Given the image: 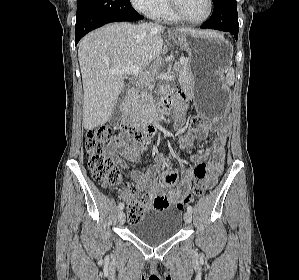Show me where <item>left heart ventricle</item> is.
<instances>
[{
  "instance_id": "b2bd125f",
  "label": "left heart ventricle",
  "mask_w": 299,
  "mask_h": 280,
  "mask_svg": "<svg viewBox=\"0 0 299 280\" xmlns=\"http://www.w3.org/2000/svg\"><path fill=\"white\" fill-rule=\"evenodd\" d=\"M182 12L190 19L203 18L208 10L207 0H178Z\"/></svg>"
}]
</instances>
